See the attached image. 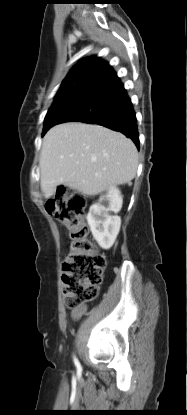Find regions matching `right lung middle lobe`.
<instances>
[{
  "label": "right lung middle lobe",
  "mask_w": 187,
  "mask_h": 415,
  "mask_svg": "<svg viewBox=\"0 0 187 415\" xmlns=\"http://www.w3.org/2000/svg\"><path fill=\"white\" fill-rule=\"evenodd\" d=\"M64 101H65V99H62L61 101L54 103V104L51 106V108L49 109V111H48V113H47V115H46V118H45L44 129H43V134H42V135H44V134L47 132V130H48V126H49V124H50V120H49V118H50L51 113H52V112H54V110L56 109V107H57L59 104H62Z\"/></svg>",
  "instance_id": "dd1d6c3e"
}]
</instances>
